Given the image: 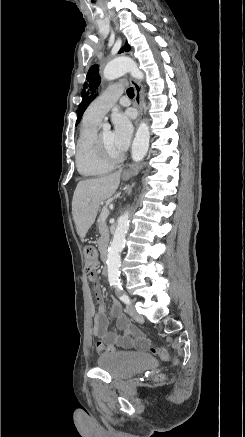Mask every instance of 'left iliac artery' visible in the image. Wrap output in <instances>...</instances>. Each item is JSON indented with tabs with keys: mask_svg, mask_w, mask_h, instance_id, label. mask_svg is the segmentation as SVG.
Here are the masks:
<instances>
[{
	"mask_svg": "<svg viewBox=\"0 0 245 437\" xmlns=\"http://www.w3.org/2000/svg\"><path fill=\"white\" fill-rule=\"evenodd\" d=\"M115 288L119 294V298L125 304H130V299L126 293H124L121 283H115Z\"/></svg>",
	"mask_w": 245,
	"mask_h": 437,
	"instance_id": "1",
	"label": "left iliac artery"
}]
</instances>
